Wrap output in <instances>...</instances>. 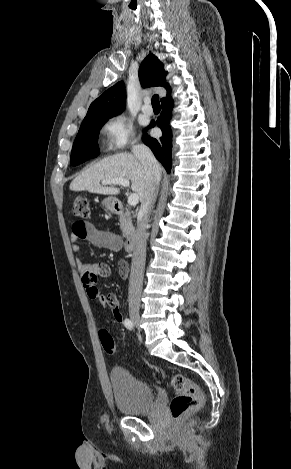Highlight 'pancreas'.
Listing matches in <instances>:
<instances>
[{
    "label": "pancreas",
    "mask_w": 291,
    "mask_h": 469,
    "mask_svg": "<svg viewBox=\"0 0 291 469\" xmlns=\"http://www.w3.org/2000/svg\"><path fill=\"white\" fill-rule=\"evenodd\" d=\"M119 220L123 237L132 239L135 234V228L130 217V212L126 211L124 214H121Z\"/></svg>",
    "instance_id": "cf45deb5"
}]
</instances>
